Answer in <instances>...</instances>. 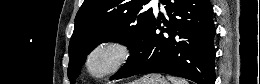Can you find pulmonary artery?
I'll return each instance as SVG.
<instances>
[{"label":"pulmonary artery","mask_w":260,"mask_h":84,"mask_svg":"<svg viewBox=\"0 0 260 84\" xmlns=\"http://www.w3.org/2000/svg\"><path fill=\"white\" fill-rule=\"evenodd\" d=\"M159 2H160L159 0H152L151 4L156 7L157 4H159Z\"/></svg>","instance_id":"pulmonary-artery-1"}]
</instances>
